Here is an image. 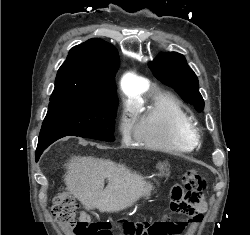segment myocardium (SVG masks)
Wrapping results in <instances>:
<instances>
[{"label":"myocardium","instance_id":"obj_1","mask_svg":"<svg viewBox=\"0 0 250 235\" xmlns=\"http://www.w3.org/2000/svg\"><path fill=\"white\" fill-rule=\"evenodd\" d=\"M199 130L195 126H191L188 129V137L193 141L194 144H196L199 140Z\"/></svg>","mask_w":250,"mask_h":235}]
</instances>
